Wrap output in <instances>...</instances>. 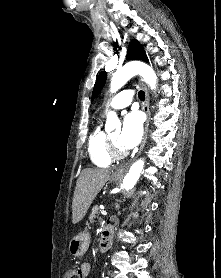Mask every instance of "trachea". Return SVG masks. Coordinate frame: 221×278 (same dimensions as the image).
<instances>
[{"mask_svg":"<svg viewBox=\"0 0 221 278\" xmlns=\"http://www.w3.org/2000/svg\"><path fill=\"white\" fill-rule=\"evenodd\" d=\"M138 97H139V99H140L141 101H144V99H145V93H144V91H139Z\"/></svg>","mask_w":221,"mask_h":278,"instance_id":"trachea-1","label":"trachea"}]
</instances>
